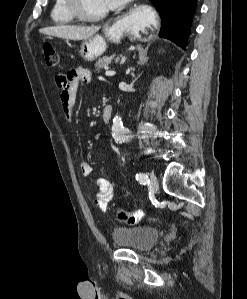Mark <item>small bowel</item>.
<instances>
[{"label": "small bowel", "instance_id": "obj_1", "mask_svg": "<svg viewBox=\"0 0 247 299\" xmlns=\"http://www.w3.org/2000/svg\"><path fill=\"white\" fill-rule=\"evenodd\" d=\"M91 80V72L85 69H73L66 75L56 77L57 86L61 90L60 100L62 110L69 122H73L74 106L79 85L81 83H89ZM79 171L82 176L87 177L91 174L92 168L87 161H81ZM95 186L98 188L95 204L100 210L106 211L109 203L114 198L115 184L109 179L101 177L95 181Z\"/></svg>", "mask_w": 247, "mask_h": 299}]
</instances>
